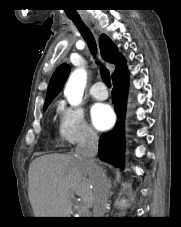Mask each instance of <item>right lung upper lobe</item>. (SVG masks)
Here are the masks:
<instances>
[{
	"mask_svg": "<svg viewBox=\"0 0 181 227\" xmlns=\"http://www.w3.org/2000/svg\"><path fill=\"white\" fill-rule=\"evenodd\" d=\"M99 45L102 57L105 59V61L113 63L116 66L114 71L115 73L124 61L123 56L118 52L112 41L104 34L100 36ZM69 73L70 66H68L66 63L60 65L55 70L49 82L45 104H50L53 98L61 91Z\"/></svg>",
	"mask_w": 181,
	"mask_h": 227,
	"instance_id": "right-lung-upper-lobe-1",
	"label": "right lung upper lobe"
}]
</instances>
